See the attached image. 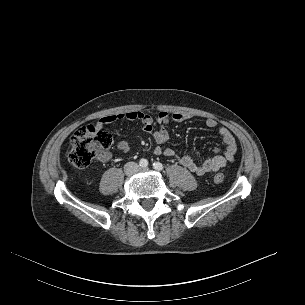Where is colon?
Wrapping results in <instances>:
<instances>
[{"label":"colon","instance_id":"obj_1","mask_svg":"<svg viewBox=\"0 0 305 305\" xmlns=\"http://www.w3.org/2000/svg\"><path fill=\"white\" fill-rule=\"evenodd\" d=\"M112 142L111 134L106 131L99 130L93 125L80 127L71 137V149L67 160L75 168H85L101 152L109 149ZM223 180V173L217 172L213 175L215 183H221Z\"/></svg>","mask_w":305,"mask_h":305}]
</instances>
